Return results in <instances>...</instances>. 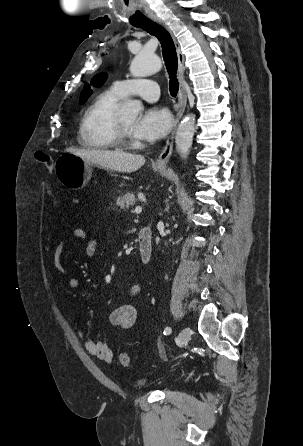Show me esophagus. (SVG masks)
I'll use <instances>...</instances> for the list:
<instances>
[{"label":"esophagus","mask_w":303,"mask_h":446,"mask_svg":"<svg viewBox=\"0 0 303 446\" xmlns=\"http://www.w3.org/2000/svg\"><path fill=\"white\" fill-rule=\"evenodd\" d=\"M152 20L161 25L162 27H164L172 36V39L174 41L175 44V48H176V53H177V59H178V75H179V80H180V88H179V93H178V103H179V109L178 112L176 114L175 120H174V124H173V128L171 131V134L169 136V138L166 141V144L164 146V149L162 150L161 154L158 156V158L155 161V165L158 167H165L171 157L172 154V150H173V142H174V135H175V131L177 128V125L181 119V117L183 116V113L185 111L186 105H187V94H186V90L184 87V79H185V65H184V55L181 51L180 48V44L178 42V40L176 39V37L173 35L172 31L170 30V28L159 18L154 17L152 18Z\"/></svg>","instance_id":"esophagus-1"}]
</instances>
